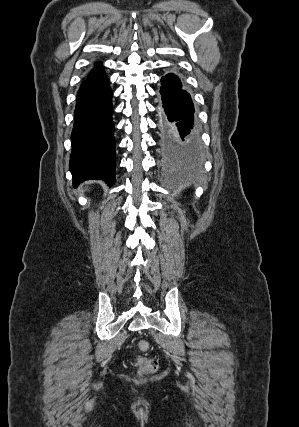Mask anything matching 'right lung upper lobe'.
<instances>
[{"mask_svg": "<svg viewBox=\"0 0 299 427\" xmlns=\"http://www.w3.org/2000/svg\"><path fill=\"white\" fill-rule=\"evenodd\" d=\"M103 73H104V71H103L101 65L100 64H96L95 68L91 71V73L89 74L88 78L96 77V76L101 75Z\"/></svg>", "mask_w": 299, "mask_h": 427, "instance_id": "obj_1", "label": "right lung upper lobe"}]
</instances>
